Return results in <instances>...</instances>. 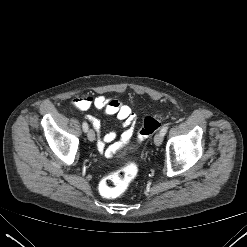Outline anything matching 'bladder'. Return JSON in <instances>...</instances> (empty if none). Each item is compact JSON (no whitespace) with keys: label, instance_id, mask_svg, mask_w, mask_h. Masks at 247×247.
Masks as SVG:
<instances>
[{"label":"bladder","instance_id":"obj_1","mask_svg":"<svg viewBox=\"0 0 247 247\" xmlns=\"http://www.w3.org/2000/svg\"><path fill=\"white\" fill-rule=\"evenodd\" d=\"M126 150V147H124L119 153L122 154Z\"/></svg>","mask_w":247,"mask_h":247}]
</instances>
